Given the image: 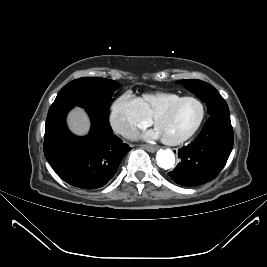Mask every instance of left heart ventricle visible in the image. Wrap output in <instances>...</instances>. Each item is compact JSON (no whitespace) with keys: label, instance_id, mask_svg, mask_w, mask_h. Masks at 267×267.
<instances>
[{"label":"left heart ventricle","instance_id":"b2bd125f","mask_svg":"<svg viewBox=\"0 0 267 267\" xmlns=\"http://www.w3.org/2000/svg\"><path fill=\"white\" fill-rule=\"evenodd\" d=\"M201 108L196 101H185L158 120L156 130L160 136L175 139L185 135L196 124Z\"/></svg>","mask_w":267,"mask_h":267}]
</instances>
